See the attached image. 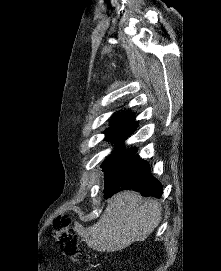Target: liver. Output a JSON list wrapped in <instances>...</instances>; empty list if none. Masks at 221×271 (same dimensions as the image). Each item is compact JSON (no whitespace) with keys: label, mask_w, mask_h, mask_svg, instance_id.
<instances>
[{"label":"liver","mask_w":221,"mask_h":271,"mask_svg":"<svg viewBox=\"0 0 221 271\" xmlns=\"http://www.w3.org/2000/svg\"><path fill=\"white\" fill-rule=\"evenodd\" d=\"M162 219L157 199H144L138 191H119L113 195L94 225L78 227L81 241L97 251H117L133 241H144Z\"/></svg>","instance_id":"liver-1"}]
</instances>
